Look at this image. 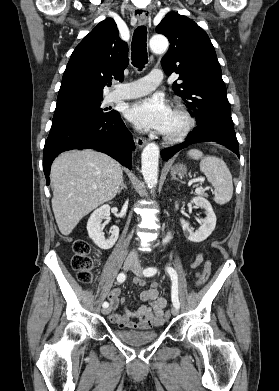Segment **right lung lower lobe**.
<instances>
[{
    "instance_id": "obj_1",
    "label": "right lung lower lobe",
    "mask_w": 279,
    "mask_h": 391,
    "mask_svg": "<svg viewBox=\"0 0 279 391\" xmlns=\"http://www.w3.org/2000/svg\"><path fill=\"white\" fill-rule=\"evenodd\" d=\"M83 148L106 153L132 168L131 155L135 145L117 111L99 120L60 121L52 123L44 146L43 170L47 184L54 158L61 152Z\"/></svg>"
}]
</instances>
